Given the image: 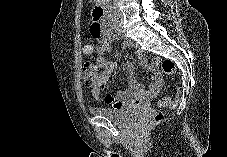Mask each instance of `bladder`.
<instances>
[{
    "mask_svg": "<svg viewBox=\"0 0 227 157\" xmlns=\"http://www.w3.org/2000/svg\"><path fill=\"white\" fill-rule=\"evenodd\" d=\"M95 115L104 117L117 124H128L142 114V109L138 107L112 108V107H93L91 109Z\"/></svg>",
    "mask_w": 227,
    "mask_h": 157,
    "instance_id": "obj_1",
    "label": "bladder"
}]
</instances>
